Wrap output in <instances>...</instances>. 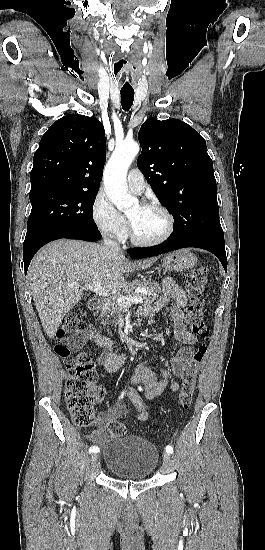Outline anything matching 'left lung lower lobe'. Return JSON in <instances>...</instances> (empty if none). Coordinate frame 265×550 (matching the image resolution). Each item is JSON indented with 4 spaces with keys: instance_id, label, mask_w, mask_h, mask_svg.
I'll use <instances>...</instances> for the list:
<instances>
[{
    "instance_id": "left-lung-lower-lobe-1",
    "label": "left lung lower lobe",
    "mask_w": 265,
    "mask_h": 550,
    "mask_svg": "<svg viewBox=\"0 0 265 550\" xmlns=\"http://www.w3.org/2000/svg\"><path fill=\"white\" fill-rule=\"evenodd\" d=\"M185 247H197L202 248L213 253L222 263L224 270L227 272V258L225 252V245L217 244L213 241L199 238H183L177 240L168 239L163 245L150 247V248H133L128 250L129 255L132 258H145L157 256L163 253H167L173 250H177Z\"/></svg>"
}]
</instances>
